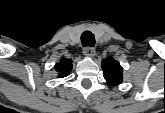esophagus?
Listing matches in <instances>:
<instances>
[{
	"label": "esophagus",
	"mask_w": 165,
	"mask_h": 113,
	"mask_svg": "<svg viewBox=\"0 0 165 113\" xmlns=\"http://www.w3.org/2000/svg\"><path fill=\"white\" fill-rule=\"evenodd\" d=\"M83 54L87 57H93L95 55V49L87 46L83 49Z\"/></svg>",
	"instance_id": "34e87169"
}]
</instances>
